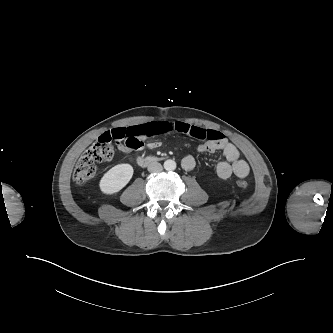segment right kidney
<instances>
[{
	"label": "right kidney",
	"mask_w": 333,
	"mask_h": 333,
	"mask_svg": "<svg viewBox=\"0 0 333 333\" xmlns=\"http://www.w3.org/2000/svg\"><path fill=\"white\" fill-rule=\"evenodd\" d=\"M130 164H118L109 169L101 178L99 186L103 194L112 195L124 188L133 176Z\"/></svg>",
	"instance_id": "1"
}]
</instances>
